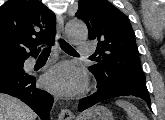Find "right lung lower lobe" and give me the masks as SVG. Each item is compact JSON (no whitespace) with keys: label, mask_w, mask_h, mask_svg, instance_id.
I'll return each mask as SVG.
<instances>
[{"label":"right lung lower lobe","mask_w":165,"mask_h":120,"mask_svg":"<svg viewBox=\"0 0 165 120\" xmlns=\"http://www.w3.org/2000/svg\"><path fill=\"white\" fill-rule=\"evenodd\" d=\"M0 93L19 98L31 107L41 120H50L53 97L37 88L35 77L25 73L23 68L0 71Z\"/></svg>","instance_id":"obj_1"}]
</instances>
